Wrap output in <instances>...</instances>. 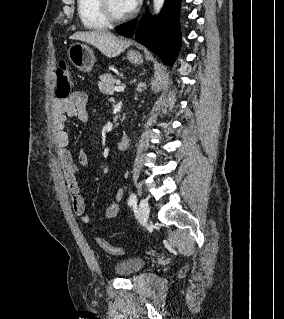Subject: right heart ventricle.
<instances>
[{"label": "right heart ventricle", "mask_w": 284, "mask_h": 319, "mask_svg": "<svg viewBox=\"0 0 284 319\" xmlns=\"http://www.w3.org/2000/svg\"><path fill=\"white\" fill-rule=\"evenodd\" d=\"M78 15L88 29H104L109 21L102 13L100 0H77Z\"/></svg>", "instance_id": "right-heart-ventricle-1"}]
</instances>
